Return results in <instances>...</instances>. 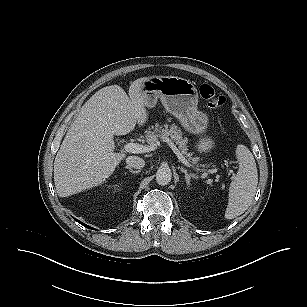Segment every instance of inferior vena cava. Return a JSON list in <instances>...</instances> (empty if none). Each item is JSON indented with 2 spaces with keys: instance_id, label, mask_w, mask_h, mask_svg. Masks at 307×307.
I'll return each mask as SVG.
<instances>
[{
  "instance_id": "1",
  "label": "inferior vena cava",
  "mask_w": 307,
  "mask_h": 307,
  "mask_svg": "<svg viewBox=\"0 0 307 307\" xmlns=\"http://www.w3.org/2000/svg\"><path fill=\"white\" fill-rule=\"evenodd\" d=\"M127 166L135 168V169H141L145 166V161L137 156H129L126 158Z\"/></svg>"
}]
</instances>
